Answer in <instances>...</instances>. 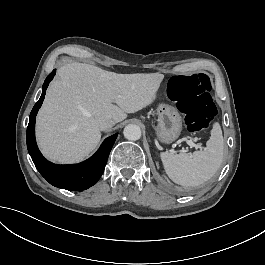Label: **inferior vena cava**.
<instances>
[{
	"label": "inferior vena cava",
	"instance_id": "inferior-vena-cava-1",
	"mask_svg": "<svg viewBox=\"0 0 265 265\" xmlns=\"http://www.w3.org/2000/svg\"><path fill=\"white\" fill-rule=\"evenodd\" d=\"M97 124L101 130H106L109 127H112L115 124V121L111 117L103 115L97 119Z\"/></svg>",
	"mask_w": 265,
	"mask_h": 265
}]
</instances>
